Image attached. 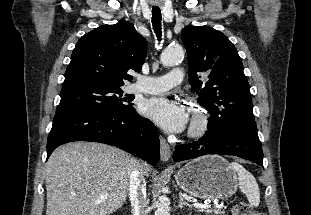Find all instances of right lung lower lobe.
<instances>
[{
	"label": "right lung lower lobe",
	"instance_id": "obj_1",
	"mask_svg": "<svg viewBox=\"0 0 311 215\" xmlns=\"http://www.w3.org/2000/svg\"><path fill=\"white\" fill-rule=\"evenodd\" d=\"M73 141H92L116 146L151 165H156L160 159L156 127L135 110L121 114L86 110L56 113L48 136L47 157L58 146Z\"/></svg>",
	"mask_w": 311,
	"mask_h": 215
}]
</instances>
